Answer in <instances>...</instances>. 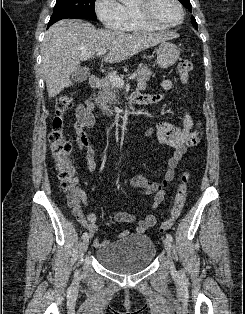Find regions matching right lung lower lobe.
<instances>
[{
    "label": "right lung lower lobe",
    "mask_w": 245,
    "mask_h": 314,
    "mask_svg": "<svg viewBox=\"0 0 245 314\" xmlns=\"http://www.w3.org/2000/svg\"><path fill=\"white\" fill-rule=\"evenodd\" d=\"M56 21H49L48 23V27L51 26L53 23H55Z\"/></svg>",
    "instance_id": "obj_1"
}]
</instances>
